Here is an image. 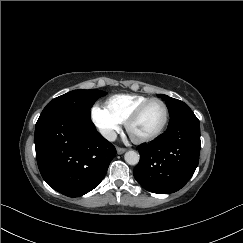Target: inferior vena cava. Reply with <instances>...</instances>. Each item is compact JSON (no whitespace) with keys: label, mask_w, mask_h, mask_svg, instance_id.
I'll return each mask as SVG.
<instances>
[{"label":"inferior vena cava","mask_w":243,"mask_h":243,"mask_svg":"<svg viewBox=\"0 0 243 243\" xmlns=\"http://www.w3.org/2000/svg\"><path fill=\"white\" fill-rule=\"evenodd\" d=\"M101 134L103 135L104 138H106L109 141H115L117 138L116 132L110 129L102 130Z\"/></svg>","instance_id":"602c4592"}]
</instances>
